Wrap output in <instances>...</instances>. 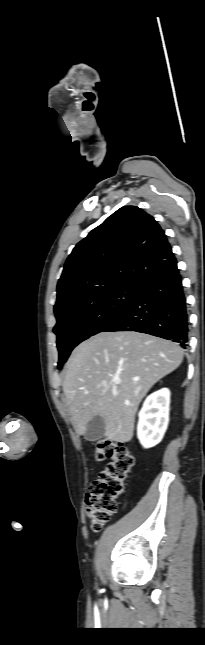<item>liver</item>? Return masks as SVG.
Listing matches in <instances>:
<instances>
[{
	"label": "liver",
	"mask_w": 205,
	"mask_h": 645,
	"mask_svg": "<svg viewBox=\"0 0 205 645\" xmlns=\"http://www.w3.org/2000/svg\"><path fill=\"white\" fill-rule=\"evenodd\" d=\"M182 360L183 350L176 343L134 331L101 332L79 344L68 359L63 382L76 433L84 435L87 424L100 416L108 439L130 441L141 400Z\"/></svg>",
	"instance_id": "liver-1"
}]
</instances>
